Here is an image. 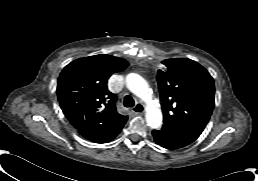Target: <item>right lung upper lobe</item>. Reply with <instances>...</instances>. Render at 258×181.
<instances>
[{
    "mask_svg": "<svg viewBox=\"0 0 258 181\" xmlns=\"http://www.w3.org/2000/svg\"><path fill=\"white\" fill-rule=\"evenodd\" d=\"M128 66L125 59L95 55L68 64L58 78L57 95L60 106L79 133L127 120L116 111L115 94L107 88L108 78Z\"/></svg>",
    "mask_w": 258,
    "mask_h": 181,
    "instance_id": "1",
    "label": "right lung upper lobe"
}]
</instances>
